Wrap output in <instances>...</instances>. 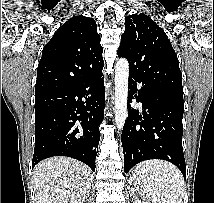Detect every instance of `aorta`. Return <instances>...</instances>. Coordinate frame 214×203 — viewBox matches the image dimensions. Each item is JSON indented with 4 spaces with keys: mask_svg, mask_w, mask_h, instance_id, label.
<instances>
[{
    "mask_svg": "<svg viewBox=\"0 0 214 203\" xmlns=\"http://www.w3.org/2000/svg\"><path fill=\"white\" fill-rule=\"evenodd\" d=\"M128 76V61L121 58L115 65V123L118 130L123 128L128 116Z\"/></svg>",
    "mask_w": 214,
    "mask_h": 203,
    "instance_id": "aorta-1",
    "label": "aorta"
}]
</instances>
